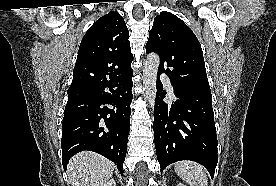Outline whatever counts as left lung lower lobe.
Returning <instances> with one entry per match:
<instances>
[{
    "instance_id": "1",
    "label": "left lung lower lobe",
    "mask_w": 276,
    "mask_h": 186,
    "mask_svg": "<svg viewBox=\"0 0 276 186\" xmlns=\"http://www.w3.org/2000/svg\"><path fill=\"white\" fill-rule=\"evenodd\" d=\"M173 89L177 99L167 104L158 73L153 129L161 172L171 163L191 160L205 166L213 177L218 155L212 96Z\"/></svg>"
}]
</instances>
